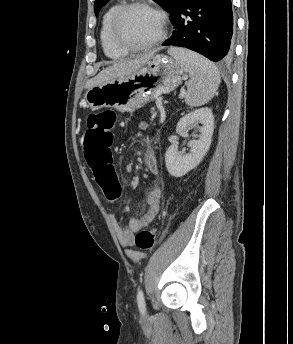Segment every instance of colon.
I'll list each match as a JSON object with an SVG mask.
<instances>
[{"mask_svg": "<svg viewBox=\"0 0 293 344\" xmlns=\"http://www.w3.org/2000/svg\"><path fill=\"white\" fill-rule=\"evenodd\" d=\"M116 114L111 110L93 112L86 121V133L83 151L97 183L110 201L119 198L121 188L112 169L111 148L114 142ZM135 245L140 251H150L156 245V230H139L135 236Z\"/></svg>", "mask_w": 293, "mask_h": 344, "instance_id": "obj_1", "label": "colon"}]
</instances>
